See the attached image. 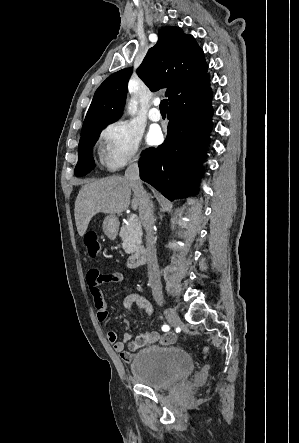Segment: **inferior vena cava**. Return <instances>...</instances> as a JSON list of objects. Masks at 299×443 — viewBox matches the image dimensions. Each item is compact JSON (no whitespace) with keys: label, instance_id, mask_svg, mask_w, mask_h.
<instances>
[{"label":"inferior vena cava","instance_id":"inferior-vena-cava-1","mask_svg":"<svg viewBox=\"0 0 299 443\" xmlns=\"http://www.w3.org/2000/svg\"><path fill=\"white\" fill-rule=\"evenodd\" d=\"M124 177L129 181V184L139 201V215L142 225L146 231L149 285L152 289L153 296L157 297L162 294V287L156 255V242L153 232V204L150 200L149 194L142 186V182L139 177V167L137 159H135L129 165V167L125 171Z\"/></svg>","mask_w":299,"mask_h":443}]
</instances>
